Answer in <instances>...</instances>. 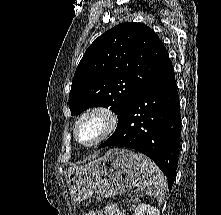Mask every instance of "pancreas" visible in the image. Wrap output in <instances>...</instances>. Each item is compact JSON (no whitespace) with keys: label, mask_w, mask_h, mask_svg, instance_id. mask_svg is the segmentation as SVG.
<instances>
[{"label":"pancreas","mask_w":221,"mask_h":215,"mask_svg":"<svg viewBox=\"0 0 221 215\" xmlns=\"http://www.w3.org/2000/svg\"><path fill=\"white\" fill-rule=\"evenodd\" d=\"M138 199H139L138 197H135L134 199H129L127 201V206L128 207H133L132 203H137Z\"/></svg>","instance_id":"obj_1"}]
</instances>
